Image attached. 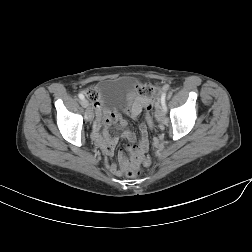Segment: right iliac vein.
Wrapping results in <instances>:
<instances>
[{
	"label": "right iliac vein",
	"mask_w": 252,
	"mask_h": 252,
	"mask_svg": "<svg viewBox=\"0 0 252 252\" xmlns=\"http://www.w3.org/2000/svg\"><path fill=\"white\" fill-rule=\"evenodd\" d=\"M81 105L86 108L85 116L88 121H92L93 119V110L89 106L88 102L86 100L81 101Z\"/></svg>",
	"instance_id": "1"
}]
</instances>
